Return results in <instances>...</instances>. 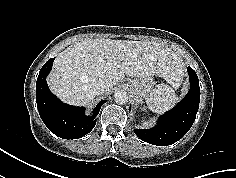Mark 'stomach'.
I'll list each match as a JSON object with an SVG mask.
<instances>
[{"label":"stomach","mask_w":236,"mask_h":178,"mask_svg":"<svg viewBox=\"0 0 236 178\" xmlns=\"http://www.w3.org/2000/svg\"><path fill=\"white\" fill-rule=\"evenodd\" d=\"M131 92L137 100L147 99L153 86V77H138L131 81Z\"/></svg>","instance_id":"0dacf381"}]
</instances>
